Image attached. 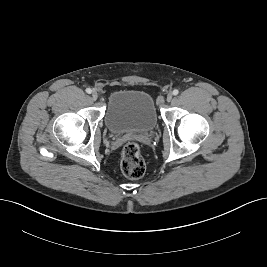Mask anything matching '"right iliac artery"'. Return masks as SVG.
<instances>
[{
    "instance_id": "82829eb1",
    "label": "right iliac artery",
    "mask_w": 267,
    "mask_h": 267,
    "mask_svg": "<svg viewBox=\"0 0 267 267\" xmlns=\"http://www.w3.org/2000/svg\"><path fill=\"white\" fill-rule=\"evenodd\" d=\"M86 92H87L88 94H90V93L92 92L91 88H87V89H86Z\"/></svg>"
}]
</instances>
